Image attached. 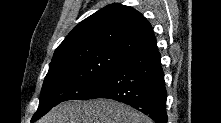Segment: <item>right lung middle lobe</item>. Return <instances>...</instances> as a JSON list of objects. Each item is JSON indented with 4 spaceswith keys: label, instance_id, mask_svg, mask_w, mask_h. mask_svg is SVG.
<instances>
[{
    "label": "right lung middle lobe",
    "instance_id": "dd1d6c3e",
    "mask_svg": "<svg viewBox=\"0 0 221 123\" xmlns=\"http://www.w3.org/2000/svg\"><path fill=\"white\" fill-rule=\"evenodd\" d=\"M128 55L106 49H86L53 58L41 91L39 107L32 121L67 100H88L96 84Z\"/></svg>",
    "mask_w": 221,
    "mask_h": 123
}]
</instances>
